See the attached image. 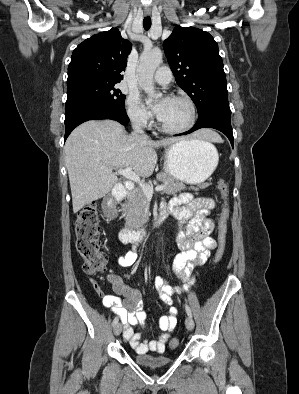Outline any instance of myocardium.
Listing matches in <instances>:
<instances>
[{"label": "myocardium", "mask_w": 299, "mask_h": 394, "mask_svg": "<svg viewBox=\"0 0 299 394\" xmlns=\"http://www.w3.org/2000/svg\"><path fill=\"white\" fill-rule=\"evenodd\" d=\"M168 99L184 101L190 108L191 119H190L189 123L186 126H184V127H181V128H170V127H167L166 125H164L162 123L161 119L158 117V126H159V128L163 132L168 133V134H181V133H185V132L189 131L190 129H192L194 127L195 123H196V120H197V108H196V105L193 102V100L190 97H188L186 95H181V94L170 95L168 97Z\"/></svg>", "instance_id": "obj_1"}]
</instances>
